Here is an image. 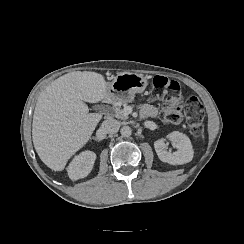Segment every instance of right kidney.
Here are the masks:
<instances>
[{
	"label": "right kidney",
	"instance_id": "obj_1",
	"mask_svg": "<svg viewBox=\"0 0 244 244\" xmlns=\"http://www.w3.org/2000/svg\"><path fill=\"white\" fill-rule=\"evenodd\" d=\"M96 154L92 151H84L75 156L67 167L68 176L71 180H78L86 177L92 170Z\"/></svg>",
	"mask_w": 244,
	"mask_h": 244
}]
</instances>
